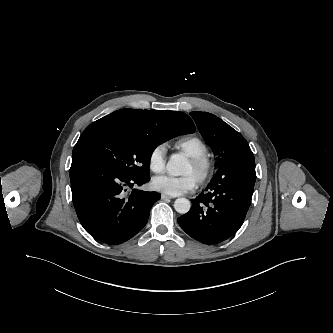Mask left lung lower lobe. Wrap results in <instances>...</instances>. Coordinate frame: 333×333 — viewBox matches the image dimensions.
I'll use <instances>...</instances> for the list:
<instances>
[{
	"label": "left lung lower lobe",
	"mask_w": 333,
	"mask_h": 333,
	"mask_svg": "<svg viewBox=\"0 0 333 333\" xmlns=\"http://www.w3.org/2000/svg\"><path fill=\"white\" fill-rule=\"evenodd\" d=\"M256 181L255 160L245 150L222 164L206 191L192 199V207L178 218L192 238L213 245L233 236L244 222Z\"/></svg>",
	"instance_id": "left-lung-lower-lobe-1"
}]
</instances>
